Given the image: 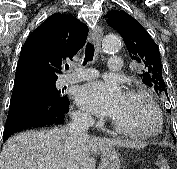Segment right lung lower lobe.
<instances>
[{"instance_id": "right-lung-lower-lobe-1", "label": "right lung lower lobe", "mask_w": 177, "mask_h": 169, "mask_svg": "<svg viewBox=\"0 0 177 169\" xmlns=\"http://www.w3.org/2000/svg\"><path fill=\"white\" fill-rule=\"evenodd\" d=\"M50 81L46 77L19 74L14 88L6 120L3 141L22 129L62 124L69 111L67 96L56 98L44 92ZM56 82V81H55Z\"/></svg>"}]
</instances>
